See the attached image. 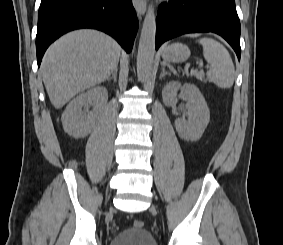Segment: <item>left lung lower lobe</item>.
Listing matches in <instances>:
<instances>
[{
    "mask_svg": "<svg viewBox=\"0 0 283 245\" xmlns=\"http://www.w3.org/2000/svg\"><path fill=\"white\" fill-rule=\"evenodd\" d=\"M156 49L176 36L214 32L222 36L240 60V21L235 0H169L158 9Z\"/></svg>",
    "mask_w": 283,
    "mask_h": 245,
    "instance_id": "1",
    "label": "left lung lower lobe"
}]
</instances>
